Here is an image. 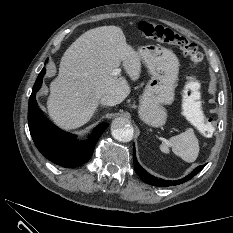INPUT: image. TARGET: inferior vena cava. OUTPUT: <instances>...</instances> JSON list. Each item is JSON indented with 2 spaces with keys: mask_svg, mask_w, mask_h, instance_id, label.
Here are the masks:
<instances>
[{
  "mask_svg": "<svg viewBox=\"0 0 233 233\" xmlns=\"http://www.w3.org/2000/svg\"><path fill=\"white\" fill-rule=\"evenodd\" d=\"M100 104L106 105V106H114V105H116V99L112 95L107 94V95H104L100 99Z\"/></svg>",
  "mask_w": 233,
  "mask_h": 233,
  "instance_id": "inferior-vena-cava-1",
  "label": "inferior vena cava"
}]
</instances>
